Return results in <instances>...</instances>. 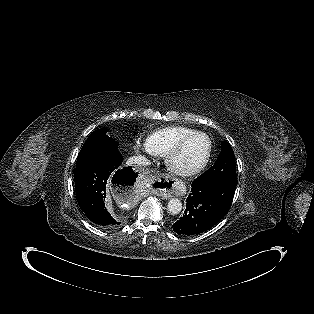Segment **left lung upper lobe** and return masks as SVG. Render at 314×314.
<instances>
[{
	"label": "left lung upper lobe",
	"instance_id": "1",
	"mask_svg": "<svg viewBox=\"0 0 314 314\" xmlns=\"http://www.w3.org/2000/svg\"><path fill=\"white\" fill-rule=\"evenodd\" d=\"M196 179H199V180H211V179L236 180L235 155L229 143L222 144V150L215 164Z\"/></svg>",
	"mask_w": 314,
	"mask_h": 314
}]
</instances>
